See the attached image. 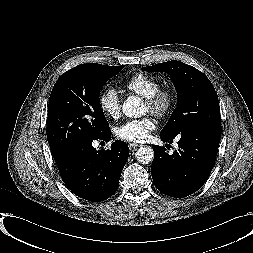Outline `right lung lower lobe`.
Wrapping results in <instances>:
<instances>
[{"label":"right lung lower lobe","mask_w":253,"mask_h":253,"mask_svg":"<svg viewBox=\"0 0 253 253\" xmlns=\"http://www.w3.org/2000/svg\"><path fill=\"white\" fill-rule=\"evenodd\" d=\"M97 139L109 141L110 128L97 138L75 143L55 159L66 186L75 195L93 202L103 201L117 191L129 155L124 141L116 140L110 149L96 150L92 142Z\"/></svg>","instance_id":"obj_1"}]
</instances>
